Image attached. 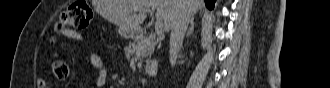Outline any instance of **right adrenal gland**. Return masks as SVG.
Returning <instances> with one entry per match:
<instances>
[{
  "label": "right adrenal gland",
  "instance_id": "right-adrenal-gland-1",
  "mask_svg": "<svg viewBox=\"0 0 330 88\" xmlns=\"http://www.w3.org/2000/svg\"><path fill=\"white\" fill-rule=\"evenodd\" d=\"M193 30H194V15L191 18L190 27L187 31L186 37H189L191 35V33L193 32Z\"/></svg>",
  "mask_w": 330,
  "mask_h": 88
}]
</instances>
